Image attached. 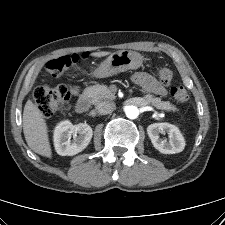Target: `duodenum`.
I'll list each match as a JSON object with an SVG mask.
<instances>
[{
    "mask_svg": "<svg viewBox=\"0 0 225 225\" xmlns=\"http://www.w3.org/2000/svg\"><path fill=\"white\" fill-rule=\"evenodd\" d=\"M91 98L89 96H82L76 102V111L78 113H85L90 109Z\"/></svg>",
    "mask_w": 225,
    "mask_h": 225,
    "instance_id": "410a0bca",
    "label": "duodenum"
}]
</instances>
